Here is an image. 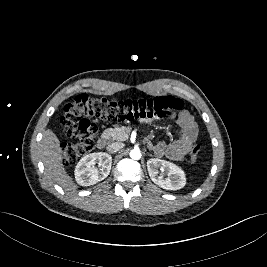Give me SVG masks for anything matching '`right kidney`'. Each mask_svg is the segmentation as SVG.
I'll return each mask as SVG.
<instances>
[{"mask_svg": "<svg viewBox=\"0 0 267 267\" xmlns=\"http://www.w3.org/2000/svg\"><path fill=\"white\" fill-rule=\"evenodd\" d=\"M100 167L97 169L95 165ZM112 157L103 152L84 156L76 165L75 179L81 186H91L104 180L110 173Z\"/></svg>", "mask_w": 267, "mask_h": 267, "instance_id": "1", "label": "right kidney"}]
</instances>
